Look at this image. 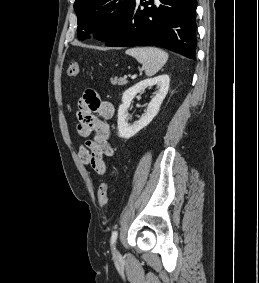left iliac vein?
Here are the masks:
<instances>
[{
	"mask_svg": "<svg viewBox=\"0 0 259 283\" xmlns=\"http://www.w3.org/2000/svg\"><path fill=\"white\" fill-rule=\"evenodd\" d=\"M118 254H119L118 250H117V249H115V255H118Z\"/></svg>",
	"mask_w": 259,
	"mask_h": 283,
	"instance_id": "4c4485c4",
	"label": "left iliac vein"
}]
</instances>
